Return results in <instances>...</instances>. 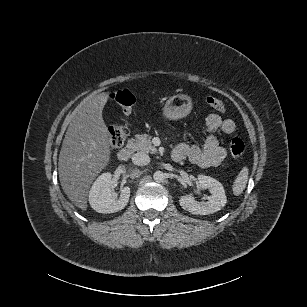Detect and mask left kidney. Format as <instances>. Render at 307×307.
I'll return each instance as SVG.
<instances>
[{
	"instance_id": "left-kidney-1",
	"label": "left kidney",
	"mask_w": 307,
	"mask_h": 307,
	"mask_svg": "<svg viewBox=\"0 0 307 307\" xmlns=\"http://www.w3.org/2000/svg\"><path fill=\"white\" fill-rule=\"evenodd\" d=\"M200 185L203 189L209 190L212 195L207 197L206 203H199L189 195H182L179 204L183 210L195 215H209L221 210L226 204L224 188L216 179L201 176Z\"/></svg>"
}]
</instances>
